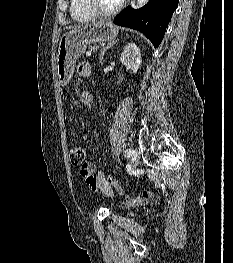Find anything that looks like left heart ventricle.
<instances>
[{
	"label": "left heart ventricle",
	"instance_id": "1",
	"mask_svg": "<svg viewBox=\"0 0 233 263\" xmlns=\"http://www.w3.org/2000/svg\"><path fill=\"white\" fill-rule=\"evenodd\" d=\"M94 4L101 10L107 11L115 8L121 0H93Z\"/></svg>",
	"mask_w": 233,
	"mask_h": 263
}]
</instances>
